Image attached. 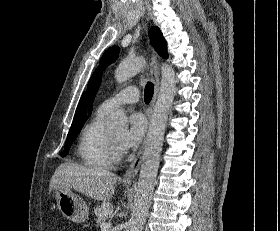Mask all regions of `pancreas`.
<instances>
[{"instance_id": "cf45deb5", "label": "pancreas", "mask_w": 280, "mask_h": 231, "mask_svg": "<svg viewBox=\"0 0 280 231\" xmlns=\"http://www.w3.org/2000/svg\"><path fill=\"white\" fill-rule=\"evenodd\" d=\"M94 211L96 215V225H101V223H104L107 217L113 215V207L111 203H108V201H103L101 205H97Z\"/></svg>"}]
</instances>
